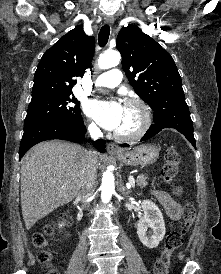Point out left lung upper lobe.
I'll use <instances>...</instances> for the list:
<instances>
[{
  "label": "left lung upper lobe",
  "mask_w": 221,
  "mask_h": 274,
  "mask_svg": "<svg viewBox=\"0 0 221 274\" xmlns=\"http://www.w3.org/2000/svg\"><path fill=\"white\" fill-rule=\"evenodd\" d=\"M116 46L129 82L137 95L154 110V115L185 102L181 77L173 58L139 27H123Z\"/></svg>",
  "instance_id": "5c2ea615"
}]
</instances>
